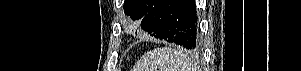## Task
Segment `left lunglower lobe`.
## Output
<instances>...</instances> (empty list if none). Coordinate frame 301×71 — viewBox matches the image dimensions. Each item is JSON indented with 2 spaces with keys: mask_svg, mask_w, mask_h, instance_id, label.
Instances as JSON below:
<instances>
[{
  "mask_svg": "<svg viewBox=\"0 0 301 71\" xmlns=\"http://www.w3.org/2000/svg\"><path fill=\"white\" fill-rule=\"evenodd\" d=\"M141 27L151 36L190 50L200 47L194 0H158L143 17Z\"/></svg>",
  "mask_w": 301,
  "mask_h": 71,
  "instance_id": "0a47b994",
  "label": "left lung lower lobe"
}]
</instances>
